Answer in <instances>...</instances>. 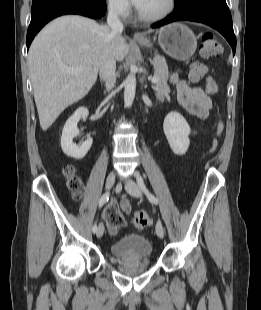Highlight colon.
Wrapping results in <instances>:
<instances>
[{
  "label": "colon",
  "mask_w": 261,
  "mask_h": 310,
  "mask_svg": "<svg viewBox=\"0 0 261 310\" xmlns=\"http://www.w3.org/2000/svg\"><path fill=\"white\" fill-rule=\"evenodd\" d=\"M222 51L221 44L217 41L212 33L205 32L201 36L200 54L203 57L209 58L220 55ZM207 68L201 62H194L190 66L189 77L191 81L196 82L206 74ZM207 92L214 95L218 92V86L214 79L209 78L206 85ZM222 132V125H218V133ZM62 174L66 181V187L72 192L74 198L80 197L81 181L76 175L75 168L72 165H66L63 168ZM119 200H109L105 206V215L107 225L111 230H116L120 227H127V220H123L122 211L119 206ZM132 222L138 229H144L151 224V219L147 213L143 211L135 212Z\"/></svg>",
  "instance_id": "obj_1"
}]
</instances>
